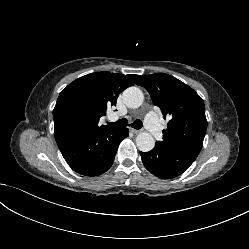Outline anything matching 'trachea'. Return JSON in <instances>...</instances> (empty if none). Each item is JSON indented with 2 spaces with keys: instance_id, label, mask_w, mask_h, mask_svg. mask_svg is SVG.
I'll use <instances>...</instances> for the list:
<instances>
[{
  "instance_id": "1",
  "label": "trachea",
  "mask_w": 249,
  "mask_h": 249,
  "mask_svg": "<svg viewBox=\"0 0 249 249\" xmlns=\"http://www.w3.org/2000/svg\"><path fill=\"white\" fill-rule=\"evenodd\" d=\"M108 125L116 128H122L126 127L128 125V121L126 119H120L116 122H108ZM143 126V123L141 120H135L132 124V127L135 129H141Z\"/></svg>"
}]
</instances>
